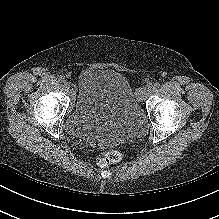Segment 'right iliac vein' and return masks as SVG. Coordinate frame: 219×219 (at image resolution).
<instances>
[{
	"mask_svg": "<svg viewBox=\"0 0 219 219\" xmlns=\"http://www.w3.org/2000/svg\"><path fill=\"white\" fill-rule=\"evenodd\" d=\"M65 85L69 88H71V91H73V84L69 81H65Z\"/></svg>",
	"mask_w": 219,
	"mask_h": 219,
	"instance_id": "63e3f726",
	"label": "right iliac vein"
}]
</instances>
